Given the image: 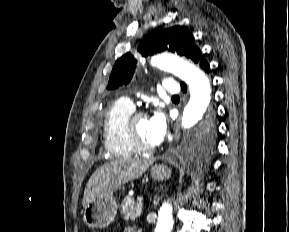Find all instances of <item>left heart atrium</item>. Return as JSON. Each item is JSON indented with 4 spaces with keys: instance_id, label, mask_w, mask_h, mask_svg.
Instances as JSON below:
<instances>
[{
    "instance_id": "left-heart-atrium-1",
    "label": "left heart atrium",
    "mask_w": 289,
    "mask_h": 232,
    "mask_svg": "<svg viewBox=\"0 0 289 232\" xmlns=\"http://www.w3.org/2000/svg\"><path fill=\"white\" fill-rule=\"evenodd\" d=\"M149 135L154 145L160 144L167 131L165 115L157 110L148 118Z\"/></svg>"
}]
</instances>
